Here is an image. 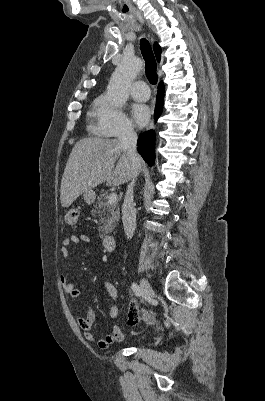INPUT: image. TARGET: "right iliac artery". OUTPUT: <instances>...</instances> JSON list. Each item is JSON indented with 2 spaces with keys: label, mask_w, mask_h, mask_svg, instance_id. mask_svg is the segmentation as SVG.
Returning <instances> with one entry per match:
<instances>
[{
  "label": "right iliac artery",
  "mask_w": 265,
  "mask_h": 401,
  "mask_svg": "<svg viewBox=\"0 0 265 401\" xmlns=\"http://www.w3.org/2000/svg\"><path fill=\"white\" fill-rule=\"evenodd\" d=\"M131 289L133 290V292L135 293L136 296H141L142 291L137 283H132Z\"/></svg>",
  "instance_id": "right-iliac-artery-1"
}]
</instances>
